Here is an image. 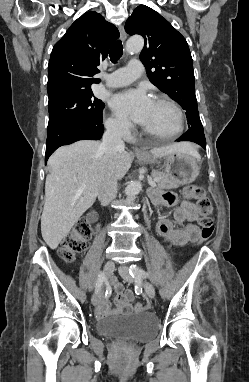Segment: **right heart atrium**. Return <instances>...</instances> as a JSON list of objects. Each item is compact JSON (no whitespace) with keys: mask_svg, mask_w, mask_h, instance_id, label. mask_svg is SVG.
Returning <instances> with one entry per match:
<instances>
[{"mask_svg":"<svg viewBox=\"0 0 249 382\" xmlns=\"http://www.w3.org/2000/svg\"><path fill=\"white\" fill-rule=\"evenodd\" d=\"M105 125L112 134L125 138L129 137L132 130V125L127 119L114 114L108 117Z\"/></svg>","mask_w":249,"mask_h":382,"instance_id":"1","label":"right heart atrium"}]
</instances>
